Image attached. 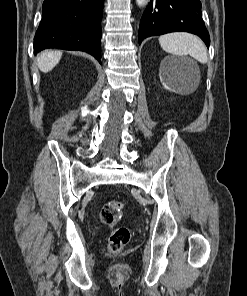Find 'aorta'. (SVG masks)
I'll return each mask as SVG.
<instances>
[{"label":"aorta","instance_id":"aorta-1","mask_svg":"<svg viewBox=\"0 0 247 296\" xmlns=\"http://www.w3.org/2000/svg\"><path fill=\"white\" fill-rule=\"evenodd\" d=\"M148 2L149 0H136V3L139 7L146 5Z\"/></svg>","mask_w":247,"mask_h":296}]
</instances>
